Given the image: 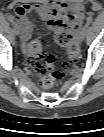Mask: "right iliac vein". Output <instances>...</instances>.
<instances>
[{"instance_id":"right-iliac-vein-1","label":"right iliac vein","mask_w":104,"mask_h":137,"mask_svg":"<svg viewBox=\"0 0 104 137\" xmlns=\"http://www.w3.org/2000/svg\"><path fill=\"white\" fill-rule=\"evenodd\" d=\"M13 27H14V32L17 36H20L21 35V29L19 27V25L17 23H14L13 24Z\"/></svg>"}]
</instances>
